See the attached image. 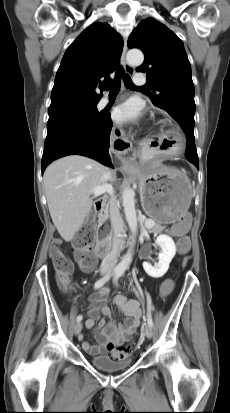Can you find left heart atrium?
Segmentation results:
<instances>
[{
	"mask_svg": "<svg viewBox=\"0 0 230 413\" xmlns=\"http://www.w3.org/2000/svg\"><path fill=\"white\" fill-rule=\"evenodd\" d=\"M141 114L140 104L136 101H127L113 111V119L118 123L136 121Z\"/></svg>",
	"mask_w": 230,
	"mask_h": 413,
	"instance_id": "left-heart-atrium-1",
	"label": "left heart atrium"
}]
</instances>
